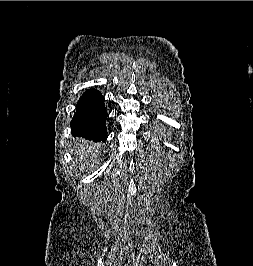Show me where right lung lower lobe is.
Here are the masks:
<instances>
[{
    "mask_svg": "<svg viewBox=\"0 0 253 266\" xmlns=\"http://www.w3.org/2000/svg\"><path fill=\"white\" fill-rule=\"evenodd\" d=\"M107 110L103 95L95 89H89L79 98L76 113L71 121L73 136L83 137L94 142L105 141Z\"/></svg>",
    "mask_w": 253,
    "mask_h": 266,
    "instance_id": "98d812e1",
    "label": "right lung lower lobe"
}]
</instances>
